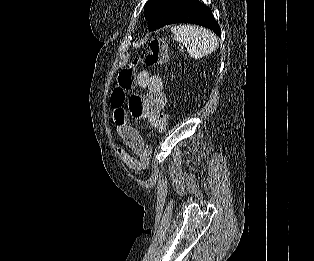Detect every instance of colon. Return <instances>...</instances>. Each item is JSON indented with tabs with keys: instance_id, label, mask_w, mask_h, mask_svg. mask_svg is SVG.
I'll use <instances>...</instances> for the list:
<instances>
[{
	"instance_id": "1",
	"label": "colon",
	"mask_w": 314,
	"mask_h": 261,
	"mask_svg": "<svg viewBox=\"0 0 314 261\" xmlns=\"http://www.w3.org/2000/svg\"><path fill=\"white\" fill-rule=\"evenodd\" d=\"M167 56L168 48L166 40L162 38L151 40L146 56L143 59L136 58L131 66L125 67L119 72L117 82L112 93V101L116 103L124 102L126 100L128 92L135 84L134 67L136 65L144 63L149 67H154L166 62ZM159 119V124L156 127L157 132L159 134H163L168 127V117L166 114L161 113Z\"/></svg>"
}]
</instances>
